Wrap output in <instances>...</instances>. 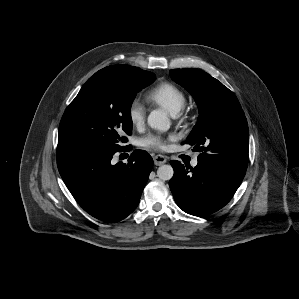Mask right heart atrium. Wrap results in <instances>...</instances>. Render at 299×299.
<instances>
[{
	"label": "right heart atrium",
	"instance_id": "1",
	"mask_svg": "<svg viewBox=\"0 0 299 299\" xmlns=\"http://www.w3.org/2000/svg\"><path fill=\"white\" fill-rule=\"evenodd\" d=\"M126 115L134 128H141L145 123L146 109L139 99L134 98L128 104Z\"/></svg>",
	"mask_w": 299,
	"mask_h": 299
}]
</instances>
